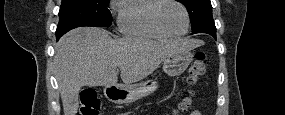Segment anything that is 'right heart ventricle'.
I'll return each mask as SVG.
<instances>
[{
    "label": "right heart ventricle",
    "mask_w": 285,
    "mask_h": 115,
    "mask_svg": "<svg viewBox=\"0 0 285 115\" xmlns=\"http://www.w3.org/2000/svg\"><path fill=\"white\" fill-rule=\"evenodd\" d=\"M158 0H129L118 5V27L129 37L167 39L153 23V10Z\"/></svg>",
    "instance_id": "right-heart-ventricle-1"
}]
</instances>
